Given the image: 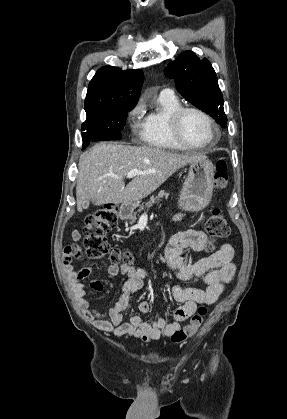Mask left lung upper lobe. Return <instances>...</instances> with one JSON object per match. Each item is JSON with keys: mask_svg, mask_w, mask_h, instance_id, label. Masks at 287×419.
<instances>
[{"mask_svg": "<svg viewBox=\"0 0 287 419\" xmlns=\"http://www.w3.org/2000/svg\"><path fill=\"white\" fill-rule=\"evenodd\" d=\"M174 80L178 92L195 107L208 113L222 127L227 126L223 96L210 62L192 51L180 54L164 70Z\"/></svg>", "mask_w": 287, "mask_h": 419, "instance_id": "left-lung-upper-lobe-1", "label": "left lung upper lobe"}]
</instances>
